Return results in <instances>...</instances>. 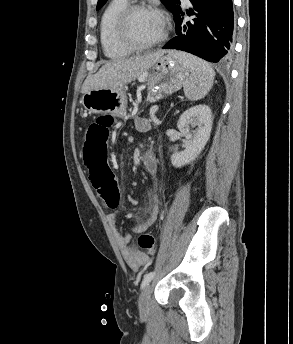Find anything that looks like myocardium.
I'll return each instance as SVG.
<instances>
[{
    "instance_id": "obj_1",
    "label": "myocardium",
    "mask_w": 293,
    "mask_h": 344,
    "mask_svg": "<svg viewBox=\"0 0 293 344\" xmlns=\"http://www.w3.org/2000/svg\"><path fill=\"white\" fill-rule=\"evenodd\" d=\"M140 11H149L156 13L162 20L163 23V33L162 35L151 42H139L133 38L130 33V21L132 16ZM115 31L118 40L126 47L132 49L133 51H145L160 44L164 43L168 37V27L164 16L157 9L145 4V3H132L127 5L118 15Z\"/></svg>"
}]
</instances>
